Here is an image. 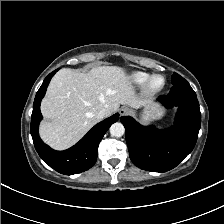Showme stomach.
Returning a JSON list of instances; mask_svg holds the SVG:
<instances>
[{
	"instance_id": "stomach-1",
	"label": "stomach",
	"mask_w": 224,
	"mask_h": 224,
	"mask_svg": "<svg viewBox=\"0 0 224 224\" xmlns=\"http://www.w3.org/2000/svg\"><path fill=\"white\" fill-rule=\"evenodd\" d=\"M163 112L160 111L157 107H147L140 115V121L144 124L158 119L162 116Z\"/></svg>"
}]
</instances>
